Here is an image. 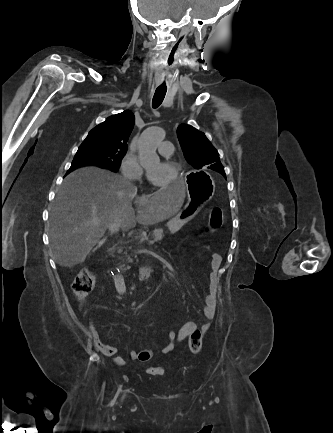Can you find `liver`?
I'll list each match as a JSON object with an SVG mask.
<instances>
[{
    "mask_svg": "<svg viewBox=\"0 0 333 433\" xmlns=\"http://www.w3.org/2000/svg\"><path fill=\"white\" fill-rule=\"evenodd\" d=\"M138 212L136 221L154 225L181 209L188 200L186 183H167ZM137 188L126 178L98 167H84L67 175L50 207L49 238L54 259L71 267L85 261L115 218L126 230ZM96 221L97 223H94Z\"/></svg>",
    "mask_w": 333,
    "mask_h": 433,
    "instance_id": "obj_1",
    "label": "liver"
}]
</instances>
